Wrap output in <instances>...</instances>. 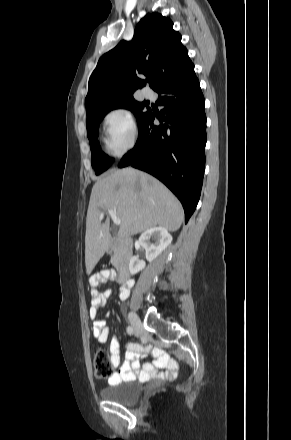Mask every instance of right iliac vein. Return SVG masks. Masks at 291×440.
Instances as JSON below:
<instances>
[{"label":"right iliac vein","mask_w":291,"mask_h":440,"mask_svg":"<svg viewBox=\"0 0 291 440\" xmlns=\"http://www.w3.org/2000/svg\"><path fill=\"white\" fill-rule=\"evenodd\" d=\"M129 321H130L136 335L139 336L141 334V329H142V323H141L139 317L134 312H130L129 313Z\"/></svg>","instance_id":"1"}]
</instances>
